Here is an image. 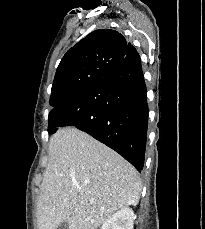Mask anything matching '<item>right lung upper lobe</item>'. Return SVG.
I'll return each mask as SVG.
<instances>
[{
  "label": "right lung upper lobe",
  "mask_w": 205,
  "mask_h": 229,
  "mask_svg": "<svg viewBox=\"0 0 205 229\" xmlns=\"http://www.w3.org/2000/svg\"><path fill=\"white\" fill-rule=\"evenodd\" d=\"M132 45L117 31L99 29L88 34L62 58L51 89L50 105H59L104 78L125 58Z\"/></svg>",
  "instance_id": "obj_1"
}]
</instances>
